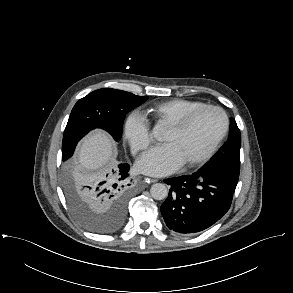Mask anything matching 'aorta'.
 <instances>
[{"instance_id": "aorta-1", "label": "aorta", "mask_w": 293, "mask_h": 293, "mask_svg": "<svg viewBox=\"0 0 293 293\" xmlns=\"http://www.w3.org/2000/svg\"><path fill=\"white\" fill-rule=\"evenodd\" d=\"M157 132V127L154 128V133ZM150 194L155 200H163L168 196V189L162 183L153 184L150 189Z\"/></svg>"}]
</instances>
